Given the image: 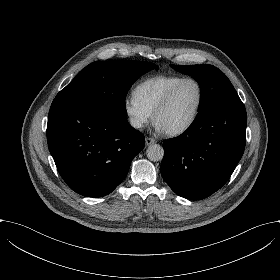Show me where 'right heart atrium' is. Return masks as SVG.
<instances>
[{"label": "right heart atrium", "instance_id": "obj_1", "mask_svg": "<svg viewBox=\"0 0 280 280\" xmlns=\"http://www.w3.org/2000/svg\"><path fill=\"white\" fill-rule=\"evenodd\" d=\"M124 111L134 129L143 128L152 119L153 114L140 103L134 94L124 100Z\"/></svg>", "mask_w": 280, "mask_h": 280}]
</instances>
